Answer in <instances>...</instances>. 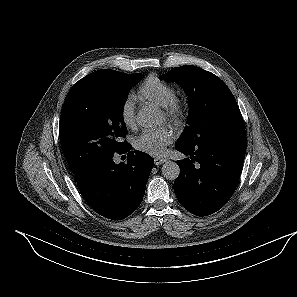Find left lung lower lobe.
I'll return each instance as SVG.
<instances>
[{
    "label": "left lung lower lobe",
    "mask_w": 297,
    "mask_h": 297,
    "mask_svg": "<svg viewBox=\"0 0 297 297\" xmlns=\"http://www.w3.org/2000/svg\"><path fill=\"white\" fill-rule=\"evenodd\" d=\"M175 148L190 156L177 161L180 174L174 191L180 204L197 216L221 209L234 193L241 175L246 151L244 127L227 129L195 147L176 144Z\"/></svg>",
    "instance_id": "left-lung-lower-lobe-1"
}]
</instances>
